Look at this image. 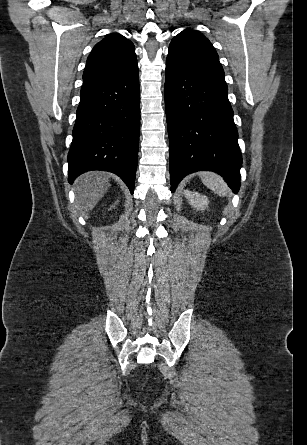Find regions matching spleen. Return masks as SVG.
<instances>
[{"label":"spleen","mask_w":307,"mask_h":445,"mask_svg":"<svg viewBox=\"0 0 307 445\" xmlns=\"http://www.w3.org/2000/svg\"><path fill=\"white\" fill-rule=\"evenodd\" d=\"M199 176L203 184H206L208 188H211L219 196H226L227 192H229L226 182L216 172H199Z\"/></svg>","instance_id":"spleen-1"}]
</instances>
